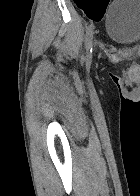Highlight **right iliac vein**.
<instances>
[{
	"mask_svg": "<svg viewBox=\"0 0 140 196\" xmlns=\"http://www.w3.org/2000/svg\"><path fill=\"white\" fill-rule=\"evenodd\" d=\"M93 48H95V43L93 44V46H92ZM88 60H91V56H90V58H88Z\"/></svg>",
	"mask_w": 140,
	"mask_h": 196,
	"instance_id": "obj_1",
	"label": "right iliac vein"
}]
</instances>
